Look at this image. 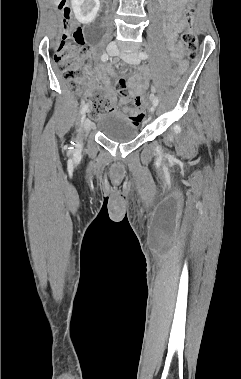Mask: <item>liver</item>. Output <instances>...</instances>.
Here are the masks:
<instances>
[{"label": "liver", "mask_w": 241, "mask_h": 379, "mask_svg": "<svg viewBox=\"0 0 241 379\" xmlns=\"http://www.w3.org/2000/svg\"><path fill=\"white\" fill-rule=\"evenodd\" d=\"M55 2L58 4L60 2V0H55Z\"/></svg>", "instance_id": "obj_1"}]
</instances>
